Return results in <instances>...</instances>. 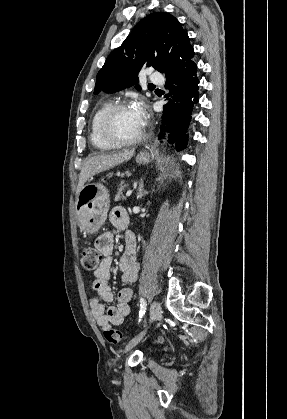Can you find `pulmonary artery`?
Instances as JSON below:
<instances>
[{
  "instance_id": "obj_1",
  "label": "pulmonary artery",
  "mask_w": 287,
  "mask_h": 419,
  "mask_svg": "<svg viewBox=\"0 0 287 419\" xmlns=\"http://www.w3.org/2000/svg\"><path fill=\"white\" fill-rule=\"evenodd\" d=\"M148 82H150L154 85L155 84L161 85L164 82L163 76L160 73H157L155 71H150L149 75H148Z\"/></svg>"
}]
</instances>
